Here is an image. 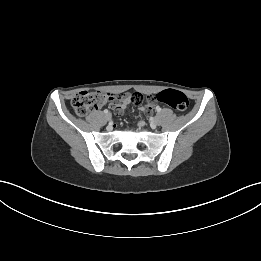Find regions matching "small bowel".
Listing matches in <instances>:
<instances>
[{
    "mask_svg": "<svg viewBox=\"0 0 261 261\" xmlns=\"http://www.w3.org/2000/svg\"><path fill=\"white\" fill-rule=\"evenodd\" d=\"M118 102L119 103H112L111 107L119 113L127 109L130 102L135 103L137 106H142V112H148L153 108L154 100L146 94L131 92L130 94H120Z\"/></svg>",
    "mask_w": 261,
    "mask_h": 261,
    "instance_id": "obj_1",
    "label": "small bowel"
}]
</instances>
